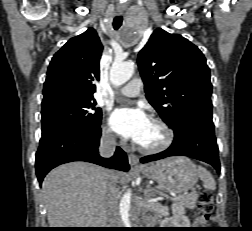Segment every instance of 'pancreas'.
I'll list each match as a JSON object with an SVG mask.
<instances>
[{
  "instance_id": "1",
  "label": "pancreas",
  "mask_w": 252,
  "mask_h": 231,
  "mask_svg": "<svg viewBox=\"0 0 252 231\" xmlns=\"http://www.w3.org/2000/svg\"><path fill=\"white\" fill-rule=\"evenodd\" d=\"M199 194L197 192L183 196L180 199H175L174 201L181 205L182 207L188 209H194L196 207V202L198 200Z\"/></svg>"
}]
</instances>
